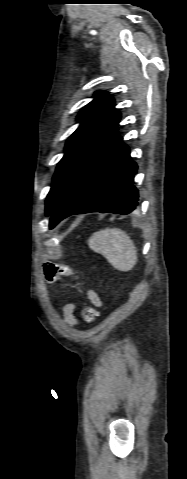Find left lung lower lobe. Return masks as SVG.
Returning <instances> with one entry per match:
<instances>
[{"label": "left lung lower lobe", "instance_id": "obj_1", "mask_svg": "<svg viewBox=\"0 0 187 479\" xmlns=\"http://www.w3.org/2000/svg\"><path fill=\"white\" fill-rule=\"evenodd\" d=\"M136 171L129 148L118 138L74 183L53 211L50 228L73 214H130L138 204V190L133 185Z\"/></svg>", "mask_w": 187, "mask_h": 479}]
</instances>
